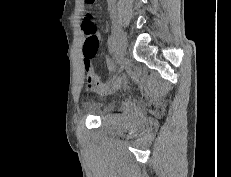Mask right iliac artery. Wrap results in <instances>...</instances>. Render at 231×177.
I'll use <instances>...</instances> for the list:
<instances>
[{
	"label": "right iliac artery",
	"mask_w": 231,
	"mask_h": 177,
	"mask_svg": "<svg viewBox=\"0 0 231 177\" xmlns=\"http://www.w3.org/2000/svg\"><path fill=\"white\" fill-rule=\"evenodd\" d=\"M108 48L110 54L113 55L115 53V39L113 35L108 38Z\"/></svg>",
	"instance_id": "82829eb1"
}]
</instances>
